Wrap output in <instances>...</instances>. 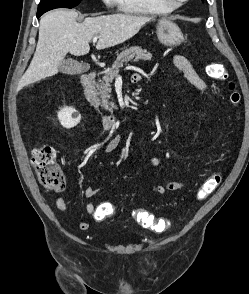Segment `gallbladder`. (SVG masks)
Returning a JSON list of instances; mask_svg holds the SVG:
<instances>
[{
    "instance_id": "1",
    "label": "gallbladder",
    "mask_w": 249,
    "mask_h": 294,
    "mask_svg": "<svg viewBox=\"0 0 249 294\" xmlns=\"http://www.w3.org/2000/svg\"><path fill=\"white\" fill-rule=\"evenodd\" d=\"M60 71L68 75H76L83 72V67L78 61L67 59L63 60V62L61 63Z\"/></svg>"
}]
</instances>
